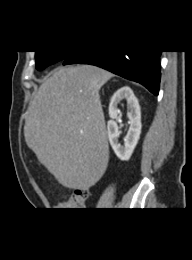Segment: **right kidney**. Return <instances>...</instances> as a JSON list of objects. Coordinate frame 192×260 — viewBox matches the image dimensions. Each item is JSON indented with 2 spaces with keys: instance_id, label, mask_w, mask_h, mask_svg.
<instances>
[{
  "instance_id": "obj_1",
  "label": "right kidney",
  "mask_w": 192,
  "mask_h": 260,
  "mask_svg": "<svg viewBox=\"0 0 192 260\" xmlns=\"http://www.w3.org/2000/svg\"><path fill=\"white\" fill-rule=\"evenodd\" d=\"M123 100H126L129 106L127 117L130 127L124 138V145H121L119 141V128L115 119H117L120 113L117 106ZM109 116L111 120L107 123V135L110 145L120 160L128 161L138 143L142 127L140 106L129 87H122L114 93L109 104Z\"/></svg>"
}]
</instances>
